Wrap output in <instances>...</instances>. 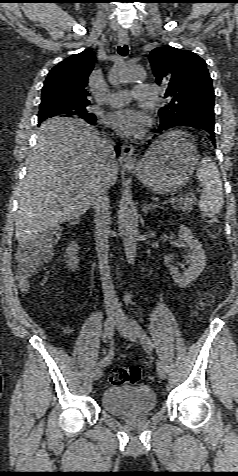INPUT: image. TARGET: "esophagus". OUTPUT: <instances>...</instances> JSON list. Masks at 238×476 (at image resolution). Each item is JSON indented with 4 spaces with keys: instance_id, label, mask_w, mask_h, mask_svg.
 <instances>
[{
    "instance_id": "obj_1",
    "label": "esophagus",
    "mask_w": 238,
    "mask_h": 476,
    "mask_svg": "<svg viewBox=\"0 0 238 476\" xmlns=\"http://www.w3.org/2000/svg\"><path fill=\"white\" fill-rule=\"evenodd\" d=\"M118 43L119 45L123 46L129 43V37L126 33H120L118 35ZM134 148L131 145H123L121 147V154H120V163L126 167L134 165V158H133Z\"/></svg>"
}]
</instances>
